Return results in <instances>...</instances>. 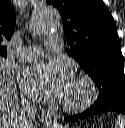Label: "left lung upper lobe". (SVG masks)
<instances>
[{
    "instance_id": "left-lung-upper-lobe-1",
    "label": "left lung upper lobe",
    "mask_w": 125,
    "mask_h": 128,
    "mask_svg": "<svg viewBox=\"0 0 125 128\" xmlns=\"http://www.w3.org/2000/svg\"><path fill=\"white\" fill-rule=\"evenodd\" d=\"M61 15L73 57L99 87L95 103L125 88L124 57L116 23L102 0H46Z\"/></svg>"
}]
</instances>
